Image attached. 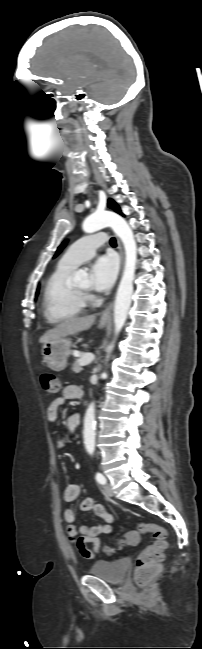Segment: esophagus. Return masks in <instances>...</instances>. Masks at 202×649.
I'll list each match as a JSON object with an SVG mask.
<instances>
[{"label": "esophagus", "instance_id": "esophagus-1", "mask_svg": "<svg viewBox=\"0 0 202 649\" xmlns=\"http://www.w3.org/2000/svg\"><path fill=\"white\" fill-rule=\"evenodd\" d=\"M117 242H118V249H119V253H120V257H121V262H123L122 246H121V243H120L119 240H117ZM111 310H112V304L108 305L106 307V309L103 311L102 316H101L102 319H108L110 317V315H111Z\"/></svg>", "mask_w": 202, "mask_h": 649}]
</instances>
